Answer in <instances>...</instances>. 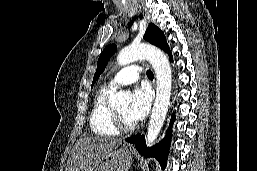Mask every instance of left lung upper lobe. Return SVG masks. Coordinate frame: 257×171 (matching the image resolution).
<instances>
[{
  "label": "left lung upper lobe",
  "mask_w": 257,
  "mask_h": 171,
  "mask_svg": "<svg viewBox=\"0 0 257 171\" xmlns=\"http://www.w3.org/2000/svg\"><path fill=\"white\" fill-rule=\"evenodd\" d=\"M144 39L148 41L149 43L161 48L167 53H170L169 46L166 42V37L164 33L153 23H150L147 31L144 35ZM116 50V45L115 44H110L107 45L102 53L99 56L98 62H97V70L94 74L92 86L96 82V80L99 78L101 73L104 71L106 68V65L110 59V57L113 55V53Z\"/></svg>",
  "instance_id": "obj_1"
}]
</instances>
